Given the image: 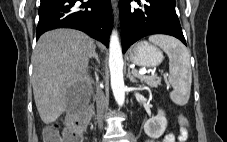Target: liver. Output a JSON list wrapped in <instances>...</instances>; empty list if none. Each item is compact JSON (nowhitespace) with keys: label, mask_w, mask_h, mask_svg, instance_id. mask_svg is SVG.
<instances>
[{"label":"liver","mask_w":227,"mask_h":142,"mask_svg":"<svg viewBox=\"0 0 227 142\" xmlns=\"http://www.w3.org/2000/svg\"><path fill=\"white\" fill-rule=\"evenodd\" d=\"M94 40L74 29L44 33L32 56V86L35 104L45 124L55 122L70 106L80 86L90 88L88 62Z\"/></svg>","instance_id":"liver-1"}]
</instances>
